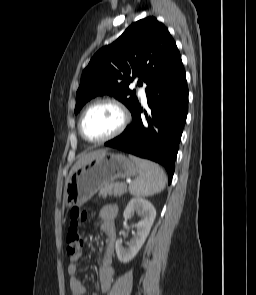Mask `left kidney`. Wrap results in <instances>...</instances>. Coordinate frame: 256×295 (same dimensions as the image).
Returning a JSON list of instances; mask_svg holds the SVG:
<instances>
[{
    "instance_id": "5707ae66",
    "label": "left kidney",
    "mask_w": 256,
    "mask_h": 295,
    "mask_svg": "<svg viewBox=\"0 0 256 295\" xmlns=\"http://www.w3.org/2000/svg\"><path fill=\"white\" fill-rule=\"evenodd\" d=\"M134 212L142 216L139 223L135 224L136 232L132 239L127 243L128 247H123V241L118 239L115 244L118 260L122 263L131 261L141 249L156 217L154 206L145 199L133 198L127 204L123 216L125 219H130Z\"/></svg>"
}]
</instances>
